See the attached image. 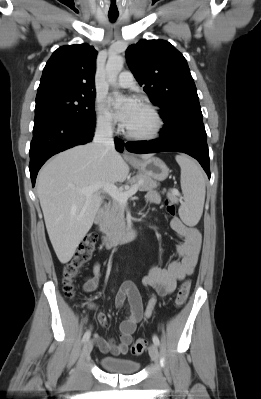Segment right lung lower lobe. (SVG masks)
I'll list each match as a JSON object with an SVG mask.
<instances>
[{"label":"right lung lower lobe","mask_w":261,"mask_h":399,"mask_svg":"<svg viewBox=\"0 0 261 399\" xmlns=\"http://www.w3.org/2000/svg\"><path fill=\"white\" fill-rule=\"evenodd\" d=\"M94 126L82 124L64 116H50L34 121L33 139L30 145V176L33 186L41 166L54 154L75 145L90 142ZM119 152L124 149L122 140H115Z\"/></svg>","instance_id":"1"}]
</instances>
